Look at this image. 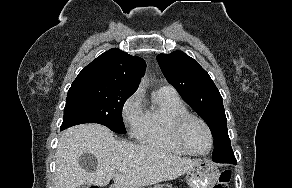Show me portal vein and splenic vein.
Returning a JSON list of instances; mask_svg holds the SVG:
<instances>
[{"instance_id": "obj_1", "label": "portal vein and splenic vein", "mask_w": 292, "mask_h": 188, "mask_svg": "<svg viewBox=\"0 0 292 188\" xmlns=\"http://www.w3.org/2000/svg\"><path fill=\"white\" fill-rule=\"evenodd\" d=\"M119 171L120 172H126L127 170L126 169H120Z\"/></svg>"}]
</instances>
